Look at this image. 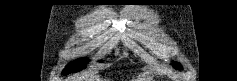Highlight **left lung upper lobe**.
I'll return each mask as SVG.
<instances>
[{"instance_id": "5c2ea615", "label": "left lung upper lobe", "mask_w": 237, "mask_h": 81, "mask_svg": "<svg viewBox=\"0 0 237 81\" xmlns=\"http://www.w3.org/2000/svg\"><path fill=\"white\" fill-rule=\"evenodd\" d=\"M174 68L176 69H182L181 65L179 63H173Z\"/></svg>"}]
</instances>
